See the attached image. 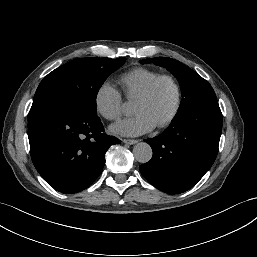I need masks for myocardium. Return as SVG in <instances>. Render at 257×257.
<instances>
[{"label":"myocardium","instance_id":"f54148a6","mask_svg":"<svg viewBox=\"0 0 257 257\" xmlns=\"http://www.w3.org/2000/svg\"><path fill=\"white\" fill-rule=\"evenodd\" d=\"M163 80H168L172 83L175 89L176 98L172 113L169 115L167 119H165L163 122L156 126L158 129H163L170 126L176 120L180 113L182 107V89L178 80L173 75L160 74L159 76L154 78L134 99V101H141L147 99L152 94L156 86Z\"/></svg>","mask_w":257,"mask_h":257}]
</instances>
